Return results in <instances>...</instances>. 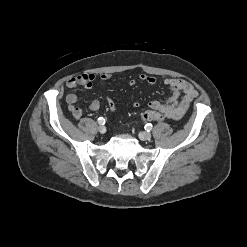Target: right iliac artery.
<instances>
[{
  "label": "right iliac artery",
  "mask_w": 247,
  "mask_h": 247,
  "mask_svg": "<svg viewBox=\"0 0 247 247\" xmlns=\"http://www.w3.org/2000/svg\"><path fill=\"white\" fill-rule=\"evenodd\" d=\"M98 123L100 125H104L105 124V119L103 117L98 118Z\"/></svg>",
  "instance_id": "right-iliac-artery-1"
}]
</instances>
